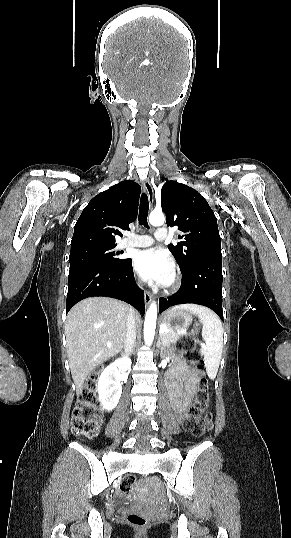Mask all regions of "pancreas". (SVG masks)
<instances>
[{
    "label": "pancreas",
    "instance_id": "1",
    "mask_svg": "<svg viewBox=\"0 0 291 538\" xmlns=\"http://www.w3.org/2000/svg\"><path fill=\"white\" fill-rule=\"evenodd\" d=\"M180 336H181L180 333L174 332L172 330L160 333V338L165 345L175 344L177 340L180 338Z\"/></svg>",
    "mask_w": 291,
    "mask_h": 538
}]
</instances>
